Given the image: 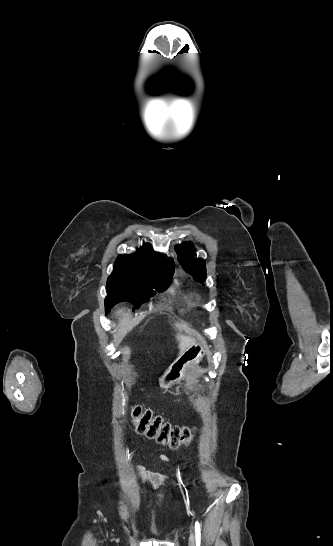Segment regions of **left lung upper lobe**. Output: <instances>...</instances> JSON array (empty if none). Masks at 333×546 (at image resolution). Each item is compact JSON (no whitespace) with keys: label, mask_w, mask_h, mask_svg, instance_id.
Segmentation results:
<instances>
[{"label":"left lung upper lobe","mask_w":333,"mask_h":546,"mask_svg":"<svg viewBox=\"0 0 333 546\" xmlns=\"http://www.w3.org/2000/svg\"><path fill=\"white\" fill-rule=\"evenodd\" d=\"M178 254V261L187 273H190L193 278L204 283L206 279V267L205 261L202 258H193L191 253L193 252L192 244L189 242H183L175 247Z\"/></svg>","instance_id":"left-lung-upper-lobe-1"}]
</instances>
